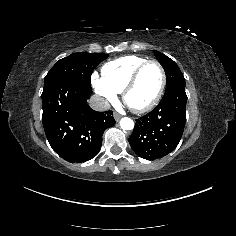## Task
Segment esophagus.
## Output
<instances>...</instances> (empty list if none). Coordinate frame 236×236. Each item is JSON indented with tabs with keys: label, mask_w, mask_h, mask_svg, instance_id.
I'll return each instance as SVG.
<instances>
[{
	"label": "esophagus",
	"mask_w": 236,
	"mask_h": 236,
	"mask_svg": "<svg viewBox=\"0 0 236 236\" xmlns=\"http://www.w3.org/2000/svg\"><path fill=\"white\" fill-rule=\"evenodd\" d=\"M121 117H122L121 114H119V113H117V112L114 113V119H115L117 122L121 119Z\"/></svg>",
	"instance_id": "1"
}]
</instances>
